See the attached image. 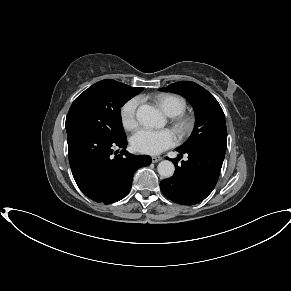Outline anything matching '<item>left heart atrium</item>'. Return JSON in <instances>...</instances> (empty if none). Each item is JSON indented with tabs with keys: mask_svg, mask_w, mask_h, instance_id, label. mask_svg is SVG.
Listing matches in <instances>:
<instances>
[{
	"mask_svg": "<svg viewBox=\"0 0 291 291\" xmlns=\"http://www.w3.org/2000/svg\"><path fill=\"white\" fill-rule=\"evenodd\" d=\"M178 139L170 129H140L131 137L132 148L140 153L155 155L176 145Z\"/></svg>",
	"mask_w": 291,
	"mask_h": 291,
	"instance_id": "1",
	"label": "left heart atrium"
}]
</instances>
